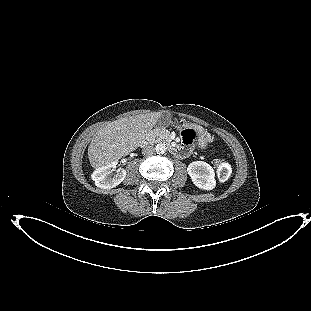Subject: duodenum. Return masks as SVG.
Returning a JSON list of instances; mask_svg holds the SVG:
<instances>
[{
	"label": "duodenum",
	"mask_w": 311,
	"mask_h": 311,
	"mask_svg": "<svg viewBox=\"0 0 311 311\" xmlns=\"http://www.w3.org/2000/svg\"><path fill=\"white\" fill-rule=\"evenodd\" d=\"M145 142H147V140H145L143 143ZM169 151L172 155H175V156H179L185 152L184 148H175L172 146L170 147Z\"/></svg>",
	"instance_id": "1"
}]
</instances>
